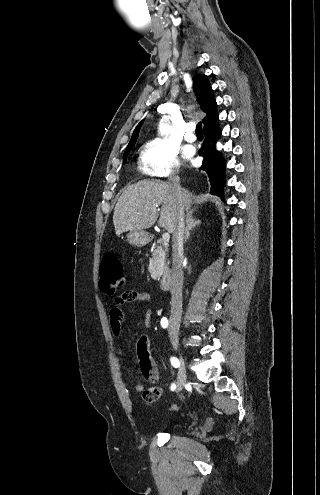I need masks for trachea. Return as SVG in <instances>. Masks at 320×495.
Instances as JSON below:
<instances>
[{
	"label": "trachea",
	"instance_id": "obj_1",
	"mask_svg": "<svg viewBox=\"0 0 320 495\" xmlns=\"http://www.w3.org/2000/svg\"><path fill=\"white\" fill-rule=\"evenodd\" d=\"M196 134H197V135H202V134H203V133H202V123H201V122H199V123L197 124V126H196Z\"/></svg>",
	"mask_w": 320,
	"mask_h": 495
}]
</instances>
